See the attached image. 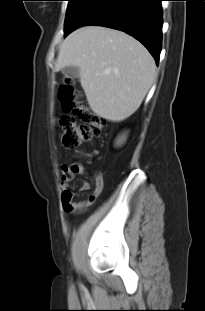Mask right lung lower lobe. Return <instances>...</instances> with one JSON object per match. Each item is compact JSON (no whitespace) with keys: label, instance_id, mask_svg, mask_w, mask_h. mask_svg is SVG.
<instances>
[{"label":"right lung lower lobe","instance_id":"1","mask_svg":"<svg viewBox=\"0 0 205 311\" xmlns=\"http://www.w3.org/2000/svg\"><path fill=\"white\" fill-rule=\"evenodd\" d=\"M161 1L90 0L69 32L85 25L124 31L139 40L158 64L162 40Z\"/></svg>","mask_w":205,"mask_h":311}]
</instances>
